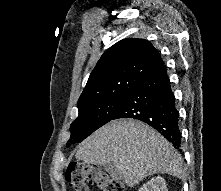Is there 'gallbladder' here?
<instances>
[{
	"instance_id": "obj_1",
	"label": "gallbladder",
	"mask_w": 221,
	"mask_h": 191,
	"mask_svg": "<svg viewBox=\"0 0 221 191\" xmlns=\"http://www.w3.org/2000/svg\"><path fill=\"white\" fill-rule=\"evenodd\" d=\"M104 170L111 174L112 177H119V174L116 170V168L112 164H106L104 165Z\"/></svg>"
}]
</instances>
